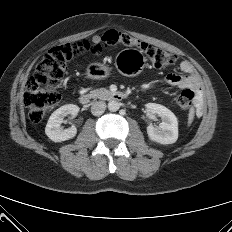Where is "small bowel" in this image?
<instances>
[{
    "instance_id": "obj_1",
    "label": "small bowel",
    "mask_w": 232,
    "mask_h": 232,
    "mask_svg": "<svg viewBox=\"0 0 232 232\" xmlns=\"http://www.w3.org/2000/svg\"><path fill=\"white\" fill-rule=\"evenodd\" d=\"M179 69L181 73H170L165 77L164 85L195 90L197 98L200 99L202 94L201 83L192 63L183 60L179 65Z\"/></svg>"
}]
</instances>
